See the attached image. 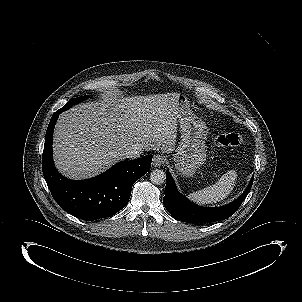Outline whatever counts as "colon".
Instances as JSON below:
<instances>
[{
	"label": "colon",
	"instance_id": "obj_1",
	"mask_svg": "<svg viewBox=\"0 0 302 302\" xmlns=\"http://www.w3.org/2000/svg\"><path fill=\"white\" fill-rule=\"evenodd\" d=\"M243 143V137L239 133H222L214 138L217 147H237Z\"/></svg>",
	"mask_w": 302,
	"mask_h": 302
}]
</instances>
